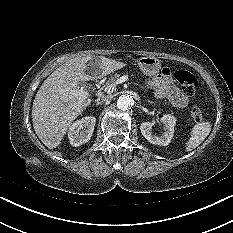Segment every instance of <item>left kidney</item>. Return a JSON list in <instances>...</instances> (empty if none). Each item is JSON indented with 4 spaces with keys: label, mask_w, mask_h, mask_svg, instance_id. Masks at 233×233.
I'll list each match as a JSON object with an SVG mask.
<instances>
[{
    "label": "left kidney",
    "mask_w": 233,
    "mask_h": 233,
    "mask_svg": "<svg viewBox=\"0 0 233 233\" xmlns=\"http://www.w3.org/2000/svg\"><path fill=\"white\" fill-rule=\"evenodd\" d=\"M160 121L164 125L165 130V132L160 137L152 134V127L154 125L153 122L141 123L140 130L145 139H147L150 143L160 146H166L172 140L176 118L172 115L167 114L163 115Z\"/></svg>",
    "instance_id": "5707ae66"
}]
</instances>
